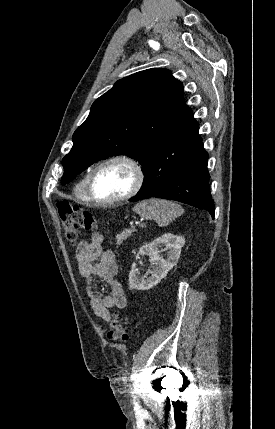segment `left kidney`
<instances>
[{
    "instance_id": "left-kidney-1",
    "label": "left kidney",
    "mask_w": 275,
    "mask_h": 429,
    "mask_svg": "<svg viewBox=\"0 0 275 429\" xmlns=\"http://www.w3.org/2000/svg\"><path fill=\"white\" fill-rule=\"evenodd\" d=\"M184 244V237L167 233L142 246L136 256V261L140 259V256H149L151 265L146 274L151 276L139 277L137 263H133L129 274L130 289L149 290L157 285L177 264ZM162 246L165 248L159 250ZM163 251H167L166 258L160 255V252Z\"/></svg>"
}]
</instances>
